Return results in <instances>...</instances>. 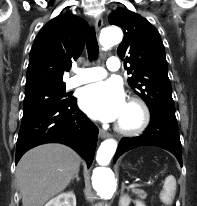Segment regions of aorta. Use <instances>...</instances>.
Masks as SVG:
<instances>
[{
  "label": "aorta",
  "mask_w": 197,
  "mask_h": 206,
  "mask_svg": "<svg viewBox=\"0 0 197 206\" xmlns=\"http://www.w3.org/2000/svg\"><path fill=\"white\" fill-rule=\"evenodd\" d=\"M122 31L117 27H107L100 35V42L105 49L121 42ZM117 149V142L114 139L103 141L97 151L96 161L98 166L93 171L92 184L103 198L111 197L116 191L117 183L112 171L107 167Z\"/></svg>",
  "instance_id": "1"
}]
</instances>
